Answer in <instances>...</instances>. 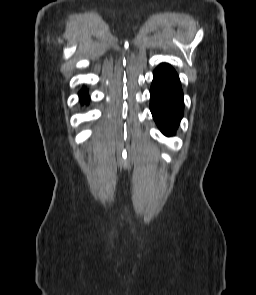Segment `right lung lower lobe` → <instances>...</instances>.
<instances>
[{"instance_id": "obj_1", "label": "right lung lower lobe", "mask_w": 256, "mask_h": 295, "mask_svg": "<svg viewBox=\"0 0 256 295\" xmlns=\"http://www.w3.org/2000/svg\"><path fill=\"white\" fill-rule=\"evenodd\" d=\"M87 92L85 91V88L82 89V91L79 93L80 99L83 101H87L89 99Z\"/></svg>"}]
</instances>
